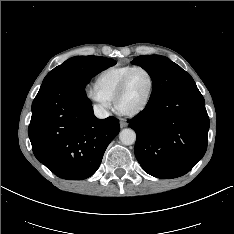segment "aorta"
Segmentation results:
<instances>
[{
    "instance_id": "aorta-1",
    "label": "aorta",
    "mask_w": 234,
    "mask_h": 234,
    "mask_svg": "<svg viewBox=\"0 0 234 234\" xmlns=\"http://www.w3.org/2000/svg\"><path fill=\"white\" fill-rule=\"evenodd\" d=\"M119 140L124 145H132L136 141V133L130 128L123 129L119 133Z\"/></svg>"
}]
</instances>
